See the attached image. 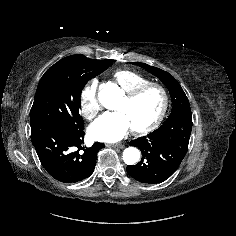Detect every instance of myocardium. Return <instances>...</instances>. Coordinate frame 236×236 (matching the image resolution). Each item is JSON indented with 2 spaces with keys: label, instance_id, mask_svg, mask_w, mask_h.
I'll use <instances>...</instances> for the list:
<instances>
[{
  "label": "myocardium",
  "instance_id": "1",
  "mask_svg": "<svg viewBox=\"0 0 236 236\" xmlns=\"http://www.w3.org/2000/svg\"><path fill=\"white\" fill-rule=\"evenodd\" d=\"M151 88L157 89L162 95L161 109H160L158 115L156 116V118L148 125L140 127V128H132V131L135 134H146V133L152 132L161 124V122L163 121V119L167 113L168 106H169V95H168L166 88L159 83L148 82V83L142 84L140 86H137V87L133 88L132 90L127 91L124 95V98L127 101H133L136 98H138L141 94H143L145 91H147Z\"/></svg>",
  "mask_w": 236,
  "mask_h": 236
}]
</instances>
